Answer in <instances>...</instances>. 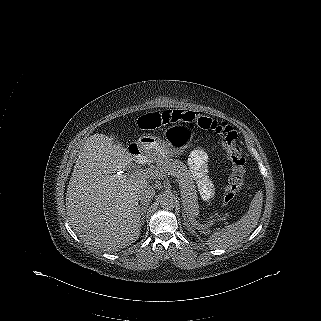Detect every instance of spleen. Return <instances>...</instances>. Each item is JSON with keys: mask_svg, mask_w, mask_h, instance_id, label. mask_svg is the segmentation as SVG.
<instances>
[{"mask_svg": "<svg viewBox=\"0 0 321 321\" xmlns=\"http://www.w3.org/2000/svg\"><path fill=\"white\" fill-rule=\"evenodd\" d=\"M263 194L257 192L248 212L237 222L218 228L210 236L208 244L213 248H228L247 237L256 227L261 216Z\"/></svg>", "mask_w": 321, "mask_h": 321, "instance_id": "1", "label": "spleen"}]
</instances>
